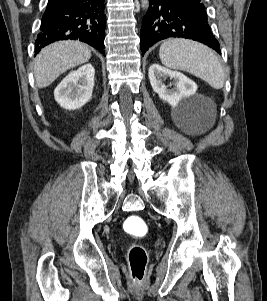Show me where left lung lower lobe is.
<instances>
[{"label": "left lung lower lobe", "mask_w": 267, "mask_h": 301, "mask_svg": "<svg viewBox=\"0 0 267 301\" xmlns=\"http://www.w3.org/2000/svg\"><path fill=\"white\" fill-rule=\"evenodd\" d=\"M140 35L142 56L154 43L168 37L199 41L221 54L201 0H149Z\"/></svg>", "instance_id": "0a47b994"}]
</instances>
